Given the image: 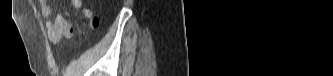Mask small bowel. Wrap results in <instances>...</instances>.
<instances>
[{
    "mask_svg": "<svg viewBox=\"0 0 333 76\" xmlns=\"http://www.w3.org/2000/svg\"><path fill=\"white\" fill-rule=\"evenodd\" d=\"M38 3L40 5L41 14L46 19V28L50 43L57 45L61 39L71 38L73 35L72 25L58 12L52 16L53 10L48 1L40 0ZM70 3L75 9L82 12L83 16L90 21L92 27H97L99 22L98 18L91 9L84 5L82 0H71Z\"/></svg>",
    "mask_w": 333,
    "mask_h": 76,
    "instance_id": "obj_1",
    "label": "small bowel"
}]
</instances>
